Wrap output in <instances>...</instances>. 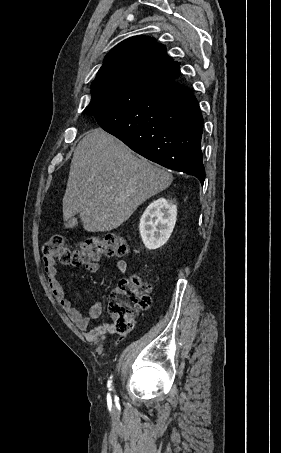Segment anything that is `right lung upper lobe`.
I'll list each match as a JSON object with an SVG mask.
<instances>
[{
    "mask_svg": "<svg viewBox=\"0 0 281 453\" xmlns=\"http://www.w3.org/2000/svg\"><path fill=\"white\" fill-rule=\"evenodd\" d=\"M180 63L166 54V48L148 36L128 38L105 57L91 85V108L129 101L163 83L179 78Z\"/></svg>",
    "mask_w": 281,
    "mask_h": 453,
    "instance_id": "right-lung-upper-lobe-1",
    "label": "right lung upper lobe"
}]
</instances>
